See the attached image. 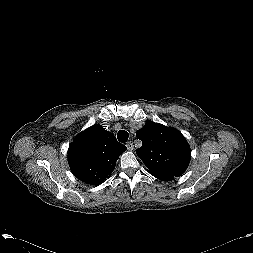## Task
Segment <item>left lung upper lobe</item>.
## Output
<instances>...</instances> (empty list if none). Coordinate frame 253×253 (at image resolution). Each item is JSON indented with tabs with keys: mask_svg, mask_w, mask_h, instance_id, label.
<instances>
[{
	"mask_svg": "<svg viewBox=\"0 0 253 253\" xmlns=\"http://www.w3.org/2000/svg\"><path fill=\"white\" fill-rule=\"evenodd\" d=\"M136 137L142 141L136 154L150 174L178 177L187 169L191 150L178 130L148 120L145 126L136 132Z\"/></svg>",
	"mask_w": 253,
	"mask_h": 253,
	"instance_id": "obj_1",
	"label": "left lung upper lobe"
}]
</instances>
